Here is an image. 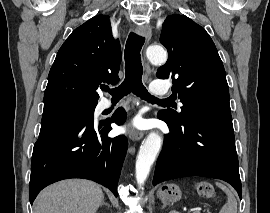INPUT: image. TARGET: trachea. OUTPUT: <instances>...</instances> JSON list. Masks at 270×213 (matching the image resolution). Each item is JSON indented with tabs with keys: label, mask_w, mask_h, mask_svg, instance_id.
Listing matches in <instances>:
<instances>
[{
	"label": "trachea",
	"mask_w": 270,
	"mask_h": 213,
	"mask_svg": "<svg viewBox=\"0 0 270 213\" xmlns=\"http://www.w3.org/2000/svg\"><path fill=\"white\" fill-rule=\"evenodd\" d=\"M145 38L131 32L125 46V79L120 86L109 90L113 99H121L131 92L149 102H166L167 99L159 100L151 96L142 83L143 67L140 59V51Z\"/></svg>",
	"instance_id": "3493384b"
}]
</instances>
